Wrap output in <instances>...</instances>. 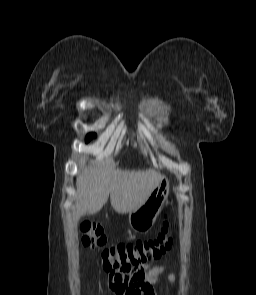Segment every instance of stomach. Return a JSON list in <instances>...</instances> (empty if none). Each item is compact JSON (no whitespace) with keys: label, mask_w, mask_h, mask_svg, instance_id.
Returning <instances> with one entry per match:
<instances>
[{"label":"stomach","mask_w":256,"mask_h":295,"mask_svg":"<svg viewBox=\"0 0 256 295\" xmlns=\"http://www.w3.org/2000/svg\"><path fill=\"white\" fill-rule=\"evenodd\" d=\"M169 194V182L162 178L161 182L152 191L146 202L139 208L129 212L130 227L135 232L149 231Z\"/></svg>","instance_id":"stomach-1"}]
</instances>
